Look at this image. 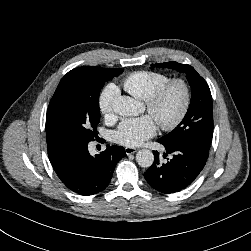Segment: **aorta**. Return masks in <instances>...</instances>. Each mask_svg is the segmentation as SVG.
I'll use <instances>...</instances> for the list:
<instances>
[{"label": "aorta", "instance_id": "aorta-1", "mask_svg": "<svg viewBox=\"0 0 251 251\" xmlns=\"http://www.w3.org/2000/svg\"><path fill=\"white\" fill-rule=\"evenodd\" d=\"M115 113L123 116H132L138 114L140 103L129 96H120L113 102ZM136 161L143 168L150 167L154 162V155L148 149L139 150L136 154Z\"/></svg>", "mask_w": 251, "mask_h": 251}]
</instances>
